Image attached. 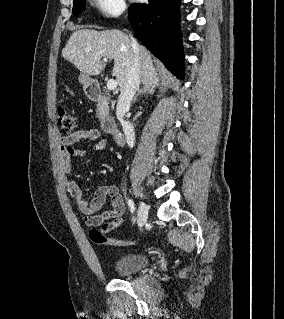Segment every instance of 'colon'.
<instances>
[{
    "instance_id": "colon-1",
    "label": "colon",
    "mask_w": 284,
    "mask_h": 319,
    "mask_svg": "<svg viewBox=\"0 0 284 319\" xmlns=\"http://www.w3.org/2000/svg\"><path fill=\"white\" fill-rule=\"evenodd\" d=\"M57 121L61 131L65 134L71 133L77 125L74 114L66 105H59L57 108ZM90 239L96 244H106L111 246H127L132 241L122 240L114 237H107L98 229H91L89 232Z\"/></svg>"
}]
</instances>
